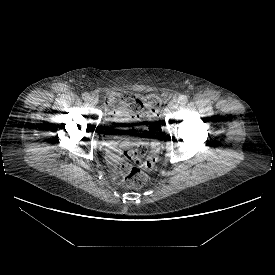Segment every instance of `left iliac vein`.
<instances>
[{
	"mask_svg": "<svg viewBox=\"0 0 275 275\" xmlns=\"http://www.w3.org/2000/svg\"><path fill=\"white\" fill-rule=\"evenodd\" d=\"M178 108V102L176 100H171L167 107L163 111V115H168L173 113Z\"/></svg>",
	"mask_w": 275,
	"mask_h": 275,
	"instance_id": "1",
	"label": "left iliac vein"
}]
</instances>
